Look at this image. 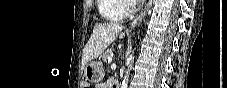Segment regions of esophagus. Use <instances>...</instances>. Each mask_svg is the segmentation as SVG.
Segmentation results:
<instances>
[{
  "mask_svg": "<svg viewBox=\"0 0 227 88\" xmlns=\"http://www.w3.org/2000/svg\"><path fill=\"white\" fill-rule=\"evenodd\" d=\"M151 3H152V0H149L147 2L145 9L133 20L131 27H135L137 24L140 23V21L143 19V17L146 15V12L150 8Z\"/></svg>",
  "mask_w": 227,
  "mask_h": 88,
  "instance_id": "1",
  "label": "esophagus"
}]
</instances>
